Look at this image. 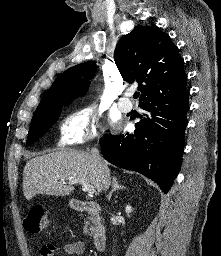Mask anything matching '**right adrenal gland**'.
Instances as JSON below:
<instances>
[{
  "mask_svg": "<svg viewBox=\"0 0 221 256\" xmlns=\"http://www.w3.org/2000/svg\"><path fill=\"white\" fill-rule=\"evenodd\" d=\"M113 186H112V190L110 191V193H109V195H108V200L110 201V199H111V197H112V194H113V192L114 191H116V190H120V189H125V187L124 186H122V185H120L119 183H118V180H117V177H113Z\"/></svg>",
  "mask_w": 221,
  "mask_h": 256,
  "instance_id": "1",
  "label": "right adrenal gland"
}]
</instances>
